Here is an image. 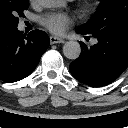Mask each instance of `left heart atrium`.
Returning a JSON list of instances; mask_svg holds the SVG:
<instances>
[{"label":"left heart atrium","mask_w":128,"mask_h":128,"mask_svg":"<svg viewBox=\"0 0 128 128\" xmlns=\"http://www.w3.org/2000/svg\"><path fill=\"white\" fill-rule=\"evenodd\" d=\"M40 23L50 32L62 34L72 24V19L65 13H49L40 18Z\"/></svg>","instance_id":"1"}]
</instances>
